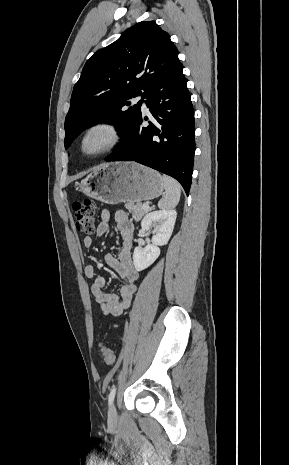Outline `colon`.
Returning <instances> with one entry per match:
<instances>
[{"instance_id": "obj_1", "label": "colon", "mask_w": 289, "mask_h": 465, "mask_svg": "<svg viewBox=\"0 0 289 465\" xmlns=\"http://www.w3.org/2000/svg\"><path fill=\"white\" fill-rule=\"evenodd\" d=\"M75 213V223L77 230L91 235L95 230V209L90 199L77 200L73 203ZM100 349L106 364H112L115 356L114 352L100 342Z\"/></svg>"}]
</instances>
